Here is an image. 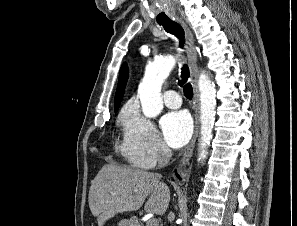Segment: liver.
Instances as JSON below:
<instances>
[{
	"instance_id": "6515ba94",
	"label": "liver",
	"mask_w": 297,
	"mask_h": 226,
	"mask_svg": "<svg viewBox=\"0 0 297 226\" xmlns=\"http://www.w3.org/2000/svg\"><path fill=\"white\" fill-rule=\"evenodd\" d=\"M148 213L163 215L170 202L169 188L161 176L137 169L104 165L91 183L88 202L99 226L118 213L136 211L144 204Z\"/></svg>"
}]
</instances>
